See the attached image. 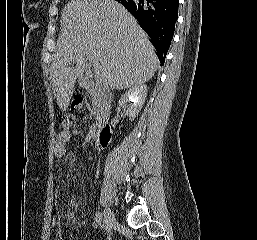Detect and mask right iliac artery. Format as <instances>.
Returning a JSON list of instances; mask_svg holds the SVG:
<instances>
[{
  "mask_svg": "<svg viewBox=\"0 0 257 240\" xmlns=\"http://www.w3.org/2000/svg\"><path fill=\"white\" fill-rule=\"evenodd\" d=\"M102 219H103V213L98 212V213L96 214V221H97L98 223H100V222L102 221Z\"/></svg>",
  "mask_w": 257,
  "mask_h": 240,
  "instance_id": "82829eb1",
  "label": "right iliac artery"
}]
</instances>
